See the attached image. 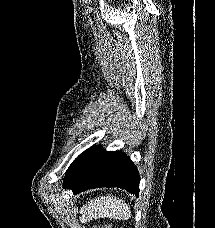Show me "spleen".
I'll use <instances>...</instances> for the list:
<instances>
[{
	"label": "spleen",
	"instance_id": "obj_1",
	"mask_svg": "<svg viewBox=\"0 0 215 228\" xmlns=\"http://www.w3.org/2000/svg\"><path fill=\"white\" fill-rule=\"evenodd\" d=\"M86 220L93 218H114V220H129L131 218V210L128 204L123 200L114 198V196H100L92 202H88L83 212Z\"/></svg>",
	"mask_w": 215,
	"mask_h": 228
}]
</instances>
